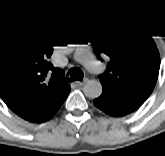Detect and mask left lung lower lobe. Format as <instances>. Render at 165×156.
I'll use <instances>...</instances> for the list:
<instances>
[{"label": "left lung lower lobe", "mask_w": 165, "mask_h": 156, "mask_svg": "<svg viewBox=\"0 0 165 156\" xmlns=\"http://www.w3.org/2000/svg\"><path fill=\"white\" fill-rule=\"evenodd\" d=\"M93 102L97 108L112 117L125 116L139 108L117 97L109 88L104 86L102 94Z\"/></svg>", "instance_id": "1"}]
</instances>
